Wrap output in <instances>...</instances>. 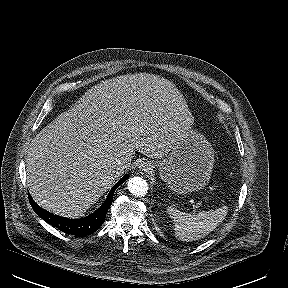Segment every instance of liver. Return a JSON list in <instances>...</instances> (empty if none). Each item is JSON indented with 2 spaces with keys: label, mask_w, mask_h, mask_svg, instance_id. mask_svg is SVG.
<instances>
[{
  "label": "liver",
  "mask_w": 288,
  "mask_h": 288,
  "mask_svg": "<svg viewBox=\"0 0 288 288\" xmlns=\"http://www.w3.org/2000/svg\"><path fill=\"white\" fill-rule=\"evenodd\" d=\"M192 115L177 87L153 74H127L92 87L31 141L27 186L47 211L85 213L123 172L135 151L161 159L191 129Z\"/></svg>",
  "instance_id": "obj_1"
}]
</instances>
